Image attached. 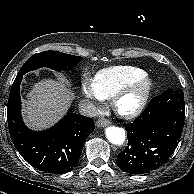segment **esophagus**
Listing matches in <instances>:
<instances>
[{"instance_id":"1","label":"esophagus","mask_w":194,"mask_h":194,"mask_svg":"<svg viewBox=\"0 0 194 194\" xmlns=\"http://www.w3.org/2000/svg\"><path fill=\"white\" fill-rule=\"evenodd\" d=\"M110 124V121L104 118H100L96 121V126L98 128L105 127Z\"/></svg>"}]
</instances>
